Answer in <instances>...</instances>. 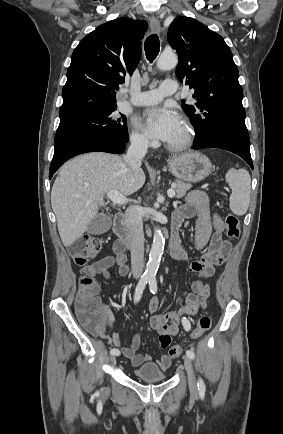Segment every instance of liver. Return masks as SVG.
Returning a JSON list of instances; mask_svg holds the SVG:
<instances>
[{"label": "liver", "mask_w": 283, "mask_h": 434, "mask_svg": "<svg viewBox=\"0 0 283 434\" xmlns=\"http://www.w3.org/2000/svg\"><path fill=\"white\" fill-rule=\"evenodd\" d=\"M145 183L141 168L132 169L114 154L92 152L75 157L60 169L51 191V205L60 238L71 246L104 206V196L118 191L128 196Z\"/></svg>", "instance_id": "1"}]
</instances>
